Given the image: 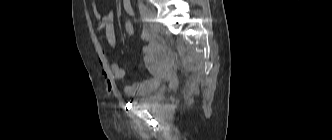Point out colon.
Returning a JSON list of instances; mask_svg holds the SVG:
<instances>
[{
	"label": "colon",
	"instance_id": "colon-1",
	"mask_svg": "<svg viewBox=\"0 0 332 140\" xmlns=\"http://www.w3.org/2000/svg\"><path fill=\"white\" fill-rule=\"evenodd\" d=\"M124 31L127 35H133L134 33V24L132 21L127 20L124 22Z\"/></svg>",
	"mask_w": 332,
	"mask_h": 140
}]
</instances>
